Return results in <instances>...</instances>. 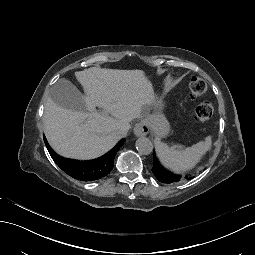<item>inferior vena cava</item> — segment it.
<instances>
[{"label": "inferior vena cava", "instance_id": "602c4592", "mask_svg": "<svg viewBox=\"0 0 255 255\" xmlns=\"http://www.w3.org/2000/svg\"><path fill=\"white\" fill-rule=\"evenodd\" d=\"M130 129V125L128 122H122L118 128H117V135H118V138L121 139V138H124L127 136L128 134V131Z\"/></svg>", "mask_w": 255, "mask_h": 255}]
</instances>
